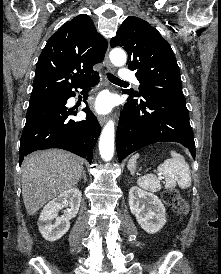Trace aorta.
<instances>
[{
  "label": "aorta",
  "instance_id": "aorta-1",
  "mask_svg": "<svg viewBox=\"0 0 221 274\" xmlns=\"http://www.w3.org/2000/svg\"><path fill=\"white\" fill-rule=\"evenodd\" d=\"M111 62L117 66H123L126 61V53L120 48L113 49L110 52ZM114 135H115V126L112 120L104 126L99 140V151L103 160L109 161L112 159L114 154Z\"/></svg>",
  "mask_w": 221,
  "mask_h": 274
}]
</instances>
